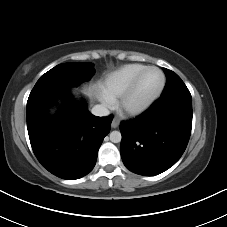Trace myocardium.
Returning <instances> with one entry per match:
<instances>
[{
    "label": "myocardium",
    "mask_w": 227,
    "mask_h": 227,
    "mask_svg": "<svg viewBox=\"0 0 227 227\" xmlns=\"http://www.w3.org/2000/svg\"><path fill=\"white\" fill-rule=\"evenodd\" d=\"M149 70H157L162 77L161 85L158 90L149 98L145 99L142 102L134 103L132 101L134 94L138 88V85L144 76V74ZM166 86V76L164 72L156 66H147L145 67L133 80L129 88L125 91V93L120 98V109L127 115L136 116L144 113L148 110L161 96Z\"/></svg>",
    "instance_id": "1"
}]
</instances>
